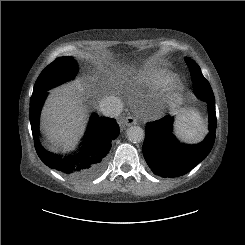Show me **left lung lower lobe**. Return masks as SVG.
<instances>
[{
	"label": "left lung lower lobe",
	"mask_w": 245,
	"mask_h": 245,
	"mask_svg": "<svg viewBox=\"0 0 245 245\" xmlns=\"http://www.w3.org/2000/svg\"><path fill=\"white\" fill-rule=\"evenodd\" d=\"M200 98L208 103L209 111V133L201 144H181L172 134L173 117L169 115L146 124L143 155L154 174L171 178L182 176L209 154L216 133L215 97L211 92Z\"/></svg>",
	"instance_id": "obj_1"
}]
</instances>
